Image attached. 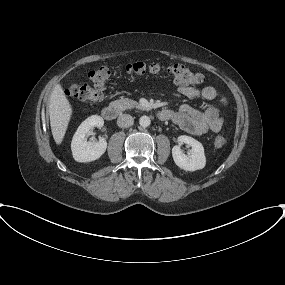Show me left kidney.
<instances>
[{
    "label": "left kidney",
    "mask_w": 285,
    "mask_h": 285,
    "mask_svg": "<svg viewBox=\"0 0 285 285\" xmlns=\"http://www.w3.org/2000/svg\"><path fill=\"white\" fill-rule=\"evenodd\" d=\"M179 145L172 148V157L175 164L185 171H196L203 169L206 164V157L204 154L203 145L194 138L186 135L178 137ZM189 145L192 150L191 153L186 155L182 152L181 144Z\"/></svg>",
    "instance_id": "obj_1"
}]
</instances>
